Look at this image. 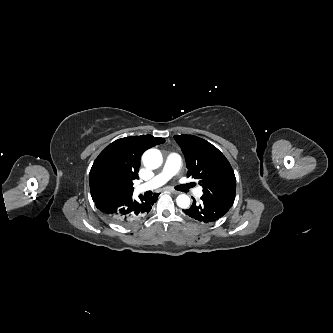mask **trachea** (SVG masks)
Returning a JSON list of instances; mask_svg holds the SVG:
<instances>
[{
	"label": "trachea",
	"instance_id": "1",
	"mask_svg": "<svg viewBox=\"0 0 333 333\" xmlns=\"http://www.w3.org/2000/svg\"><path fill=\"white\" fill-rule=\"evenodd\" d=\"M189 187H190V185H182V186H178L177 190L184 191V190H186Z\"/></svg>",
	"mask_w": 333,
	"mask_h": 333
}]
</instances>
